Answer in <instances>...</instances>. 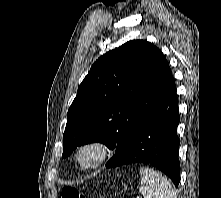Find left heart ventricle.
Returning <instances> with one entry per match:
<instances>
[{"mask_svg":"<svg viewBox=\"0 0 221 198\" xmlns=\"http://www.w3.org/2000/svg\"><path fill=\"white\" fill-rule=\"evenodd\" d=\"M90 158H91L90 155H85V156H84V159H85V160H89Z\"/></svg>","mask_w":221,"mask_h":198,"instance_id":"1","label":"left heart ventricle"}]
</instances>
